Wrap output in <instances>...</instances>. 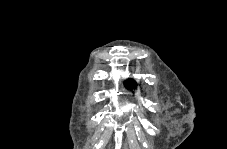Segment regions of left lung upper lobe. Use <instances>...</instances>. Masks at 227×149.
Listing matches in <instances>:
<instances>
[{"instance_id": "1", "label": "left lung upper lobe", "mask_w": 227, "mask_h": 149, "mask_svg": "<svg viewBox=\"0 0 227 149\" xmlns=\"http://www.w3.org/2000/svg\"><path fill=\"white\" fill-rule=\"evenodd\" d=\"M125 86L127 89L132 90L137 87V83L133 79H128L125 81Z\"/></svg>"}]
</instances>
